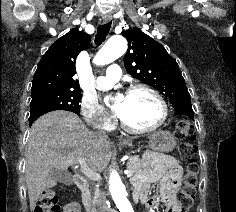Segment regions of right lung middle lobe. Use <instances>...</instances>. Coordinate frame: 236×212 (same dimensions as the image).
I'll return each mask as SVG.
<instances>
[{"label":"right lung middle lobe","mask_w":236,"mask_h":212,"mask_svg":"<svg viewBox=\"0 0 236 212\" xmlns=\"http://www.w3.org/2000/svg\"><path fill=\"white\" fill-rule=\"evenodd\" d=\"M80 90H48L32 94L30 118L54 110H66L79 114Z\"/></svg>","instance_id":"dd1d6c3e"}]
</instances>
